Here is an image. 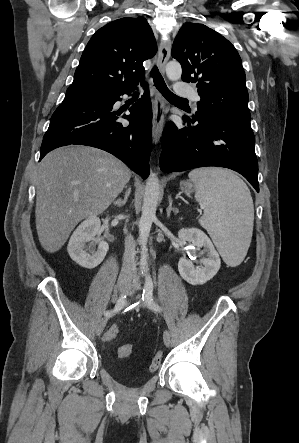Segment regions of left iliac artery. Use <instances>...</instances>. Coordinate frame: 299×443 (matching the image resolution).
I'll return each instance as SVG.
<instances>
[{
	"label": "left iliac artery",
	"mask_w": 299,
	"mask_h": 443,
	"mask_svg": "<svg viewBox=\"0 0 299 443\" xmlns=\"http://www.w3.org/2000/svg\"><path fill=\"white\" fill-rule=\"evenodd\" d=\"M142 299L152 309L161 311V307L153 300V281L149 274L146 275V282L143 289Z\"/></svg>",
	"instance_id": "44dca946"
}]
</instances>
